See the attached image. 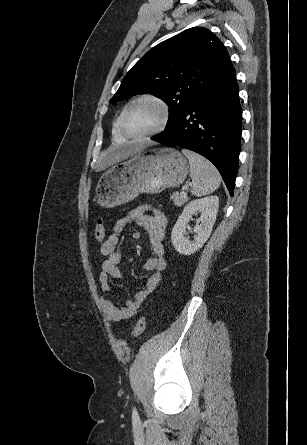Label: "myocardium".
<instances>
[{
	"label": "myocardium",
	"mask_w": 307,
	"mask_h": 445,
	"mask_svg": "<svg viewBox=\"0 0 307 445\" xmlns=\"http://www.w3.org/2000/svg\"><path fill=\"white\" fill-rule=\"evenodd\" d=\"M144 101L153 102L156 105H158L162 111V119H161L160 124L153 130L142 132V133H134L131 131V129L128 125V121H127L128 111L132 105L139 103V102H144ZM171 118H172V111H171L170 106L168 105V103L165 100H163L162 98H160L156 95L144 94V95H140L137 98L133 99L126 105L123 115H122V119H121L122 130H123L124 134L129 138L153 137V136L161 134L162 132H164L167 129V127L170 124Z\"/></svg>",
	"instance_id": "myocardium-1"
}]
</instances>
